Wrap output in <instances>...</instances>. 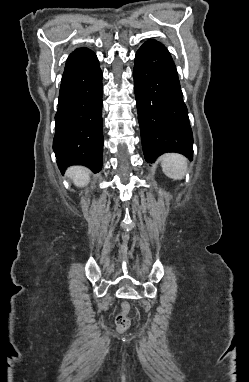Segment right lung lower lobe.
Returning a JSON list of instances; mask_svg holds the SVG:
<instances>
[{"label":"right lung lower lobe","instance_id":"1","mask_svg":"<svg viewBox=\"0 0 249 382\" xmlns=\"http://www.w3.org/2000/svg\"><path fill=\"white\" fill-rule=\"evenodd\" d=\"M102 92L96 55L61 81L53 150L62 173L75 164L85 165L94 173L102 168Z\"/></svg>","mask_w":249,"mask_h":382}]
</instances>
